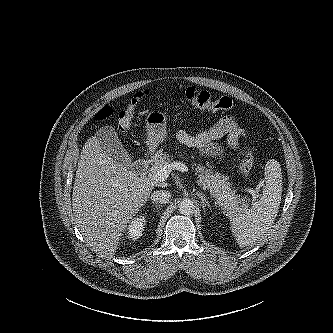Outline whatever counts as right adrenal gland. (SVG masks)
<instances>
[{
	"mask_svg": "<svg viewBox=\"0 0 333 333\" xmlns=\"http://www.w3.org/2000/svg\"><path fill=\"white\" fill-rule=\"evenodd\" d=\"M155 207H157V208H160V205H158L157 203H152Z\"/></svg>",
	"mask_w": 333,
	"mask_h": 333,
	"instance_id": "right-adrenal-gland-1",
	"label": "right adrenal gland"
}]
</instances>
